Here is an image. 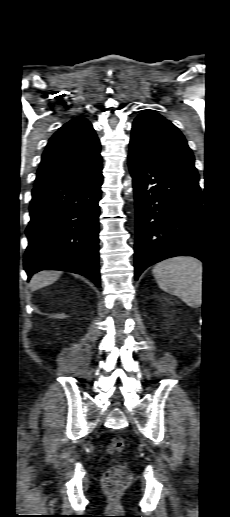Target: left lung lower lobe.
I'll return each mask as SVG.
<instances>
[{
  "mask_svg": "<svg viewBox=\"0 0 230 517\" xmlns=\"http://www.w3.org/2000/svg\"><path fill=\"white\" fill-rule=\"evenodd\" d=\"M128 165L135 194V279L174 256L205 263L202 198L197 171L151 160L133 151Z\"/></svg>",
  "mask_w": 230,
  "mask_h": 517,
  "instance_id": "left-lung-lower-lobe-1",
  "label": "left lung lower lobe"
}]
</instances>
